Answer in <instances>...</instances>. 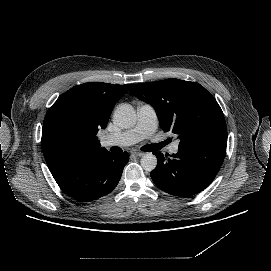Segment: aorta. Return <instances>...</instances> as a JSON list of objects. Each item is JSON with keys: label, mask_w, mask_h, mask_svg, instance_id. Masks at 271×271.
Listing matches in <instances>:
<instances>
[{"label": "aorta", "mask_w": 271, "mask_h": 271, "mask_svg": "<svg viewBox=\"0 0 271 271\" xmlns=\"http://www.w3.org/2000/svg\"><path fill=\"white\" fill-rule=\"evenodd\" d=\"M113 122L123 129L132 128L137 122V115L132 105L121 104L114 112ZM145 171L151 172L157 166V158L152 153H145L140 160Z\"/></svg>", "instance_id": "762f6f07"}]
</instances>
